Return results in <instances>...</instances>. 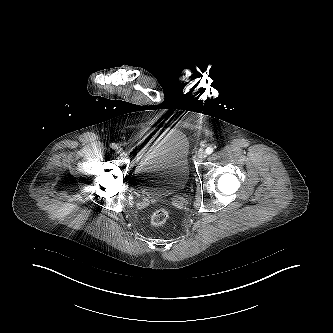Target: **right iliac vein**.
Masks as SVG:
<instances>
[{"mask_svg":"<svg viewBox=\"0 0 333 333\" xmlns=\"http://www.w3.org/2000/svg\"><path fill=\"white\" fill-rule=\"evenodd\" d=\"M116 152L119 153V154H121V153L123 152V150H122V148L117 147V148H116Z\"/></svg>","mask_w":333,"mask_h":333,"instance_id":"1","label":"right iliac vein"}]
</instances>
